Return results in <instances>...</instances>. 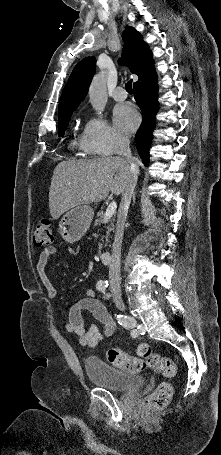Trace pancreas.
<instances>
[{"label": "pancreas", "mask_w": 221, "mask_h": 455, "mask_svg": "<svg viewBox=\"0 0 221 455\" xmlns=\"http://www.w3.org/2000/svg\"><path fill=\"white\" fill-rule=\"evenodd\" d=\"M101 224L103 225H108L107 226V231H106V235H105V238H106V242H108V239H109V236H110V232H112L114 230V224H113V219H109V220H104V214L102 211L98 212L97 215H96V220H95V226H100ZM103 241V240H102ZM102 243L99 244V248H98V253L101 254V250H102Z\"/></svg>", "instance_id": "1"}]
</instances>
